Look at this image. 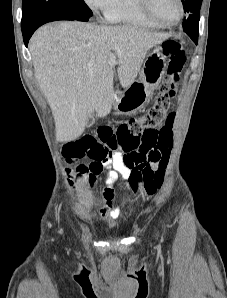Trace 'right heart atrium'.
Here are the masks:
<instances>
[{
	"label": "right heart atrium",
	"mask_w": 227,
	"mask_h": 298,
	"mask_svg": "<svg viewBox=\"0 0 227 298\" xmlns=\"http://www.w3.org/2000/svg\"><path fill=\"white\" fill-rule=\"evenodd\" d=\"M84 2L94 12L105 13L111 7L114 0H84Z\"/></svg>",
	"instance_id": "right-heart-atrium-1"
}]
</instances>
